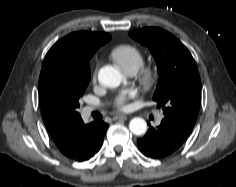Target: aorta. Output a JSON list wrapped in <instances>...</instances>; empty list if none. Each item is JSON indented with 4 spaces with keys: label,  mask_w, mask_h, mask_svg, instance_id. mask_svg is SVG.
I'll return each mask as SVG.
<instances>
[{
    "label": "aorta",
    "mask_w": 236,
    "mask_h": 187,
    "mask_svg": "<svg viewBox=\"0 0 236 187\" xmlns=\"http://www.w3.org/2000/svg\"><path fill=\"white\" fill-rule=\"evenodd\" d=\"M99 82L107 87H118L124 81L123 75L113 66H104L98 73ZM129 129L134 135H142L147 131V123L142 118H133L129 123Z\"/></svg>",
    "instance_id": "762f6f07"
}]
</instances>
